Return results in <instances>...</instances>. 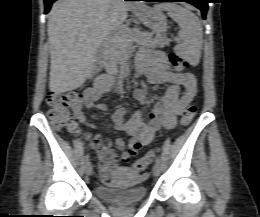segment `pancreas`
<instances>
[{"mask_svg": "<svg viewBox=\"0 0 260 217\" xmlns=\"http://www.w3.org/2000/svg\"><path fill=\"white\" fill-rule=\"evenodd\" d=\"M133 42L145 47H164L169 40L159 34L154 36V33H142L129 29L127 26H121L105 42L104 66L114 67L116 63L124 60Z\"/></svg>", "mask_w": 260, "mask_h": 217, "instance_id": "obj_1", "label": "pancreas"}]
</instances>
